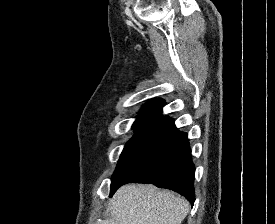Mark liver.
Returning a JSON list of instances; mask_svg holds the SVG:
<instances>
[{
	"label": "liver",
	"mask_w": 275,
	"mask_h": 224,
	"mask_svg": "<svg viewBox=\"0 0 275 224\" xmlns=\"http://www.w3.org/2000/svg\"><path fill=\"white\" fill-rule=\"evenodd\" d=\"M115 224H181L188 202L154 185L127 184L114 194L110 206Z\"/></svg>",
	"instance_id": "6515ba94"
}]
</instances>
